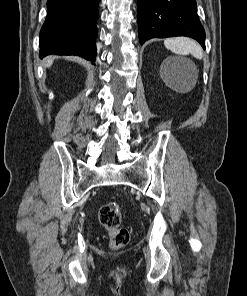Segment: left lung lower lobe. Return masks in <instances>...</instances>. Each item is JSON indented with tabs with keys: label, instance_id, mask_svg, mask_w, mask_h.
I'll list each match as a JSON object with an SVG mask.
<instances>
[{
	"label": "left lung lower lobe",
	"instance_id": "0a47b994",
	"mask_svg": "<svg viewBox=\"0 0 247 296\" xmlns=\"http://www.w3.org/2000/svg\"><path fill=\"white\" fill-rule=\"evenodd\" d=\"M137 20L141 45L151 38L188 36L205 48L196 0H138Z\"/></svg>",
	"mask_w": 247,
	"mask_h": 296
}]
</instances>
